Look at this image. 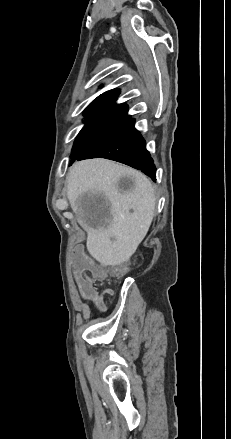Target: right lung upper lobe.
<instances>
[{"label": "right lung upper lobe", "instance_id": "1", "mask_svg": "<svg viewBox=\"0 0 231 439\" xmlns=\"http://www.w3.org/2000/svg\"><path fill=\"white\" fill-rule=\"evenodd\" d=\"M119 93V90H110L101 94L89 104L84 116L128 120L131 118L127 114L128 106L126 104H116Z\"/></svg>", "mask_w": 231, "mask_h": 439}]
</instances>
